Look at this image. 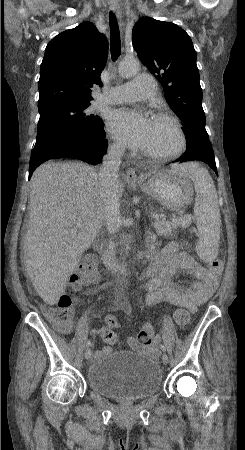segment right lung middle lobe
Listing matches in <instances>:
<instances>
[{
  "instance_id": "dd1d6c3e",
  "label": "right lung middle lobe",
  "mask_w": 245,
  "mask_h": 450,
  "mask_svg": "<svg viewBox=\"0 0 245 450\" xmlns=\"http://www.w3.org/2000/svg\"><path fill=\"white\" fill-rule=\"evenodd\" d=\"M86 105L59 103L39 109L37 139L33 152L73 142L95 141L102 120L90 113Z\"/></svg>"
}]
</instances>
